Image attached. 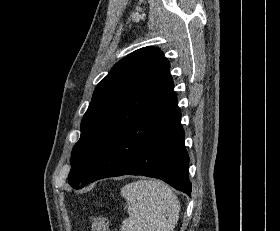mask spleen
I'll list each match as a JSON object with an SVG mask.
<instances>
[{"mask_svg":"<svg viewBox=\"0 0 280 231\" xmlns=\"http://www.w3.org/2000/svg\"><path fill=\"white\" fill-rule=\"evenodd\" d=\"M129 213L122 231H173L180 201L167 183L160 179H138L121 189Z\"/></svg>","mask_w":280,"mask_h":231,"instance_id":"obj_1","label":"spleen"}]
</instances>
